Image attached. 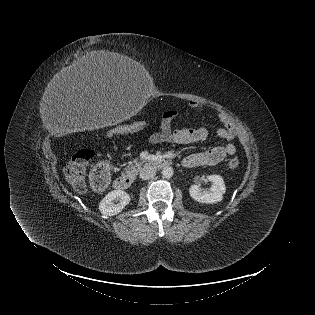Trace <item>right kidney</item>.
I'll return each mask as SVG.
<instances>
[{
    "label": "right kidney",
    "mask_w": 315,
    "mask_h": 315,
    "mask_svg": "<svg viewBox=\"0 0 315 315\" xmlns=\"http://www.w3.org/2000/svg\"><path fill=\"white\" fill-rule=\"evenodd\" d=\"M129 202L130 196L126 192L113 190L101 200L99 210L105 216H114L120 213Z\"/></svg>",
    "instance_id": "right-kidney-1"
}]
</instances>
